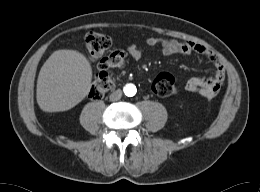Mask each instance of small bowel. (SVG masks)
Segmentation results:
<instances>
[{
    "label": "small bowel",
    "mask_w": 260,
    "mask_h": 192,
    "mask_svg": "<svg viewBox=\"0 0 260 192\" xmlns=\"http://www.w3.org/2000/svg\"><path fill=\"white\" fill-rule=\"evenodd\" d=\"M149 47L160 46L164 56L198 54L204 56L214 67L215 72L212 77H193L190 78L185 88L189 92H196L206 99L215 97L226 80V71L221 61L215 53L204 46L191 41H178L175 39H165L160 37H149L145 40ZM128 55L138 61L142 58V49L131 44L127 46Z\"/></svg>",
    "instance_id": "obj_1"
}]
</instances>
